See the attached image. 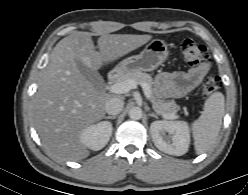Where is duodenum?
I'll return each mask as SVG.
<instances>
[{
	"label": "duodenum",
	"instance_id": "duodenum-1",
	"mask_svg": "<svg viewBox=\"0 0 248 195\" xmlns=\"http://www.w3.org/2000/svg\"><path fill=\"white\" fill-rule=\"evenodd\" d=\"M119 75H120V71H118V70H114V71L110 72L108 77H107L108 83L109 84L113 83L118 78Z\"/></svg>",
	"mask_w": 248,
	"mask_h": 195
}]
</instances>
